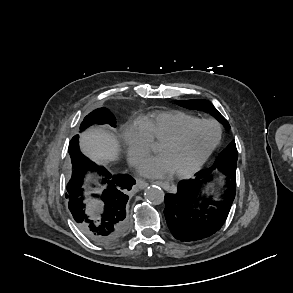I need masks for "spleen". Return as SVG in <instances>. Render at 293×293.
I'll return each mask as SVG.
<instances>
[{"instance_id": "obj_1", "label": "spleen", "mask_w": 293, "mask_h": 293, "mask_svg": "<svg viewBox=\"0 0 293 293\" xmlns=\"http://www.w3.org/2000/svg\"><path fill=\"white\" fill-rule=\"evenodd\" d=\"M213 188V184L212 183H208L207 185H206V189H212Z\"/></svg>"}]
</instances>
